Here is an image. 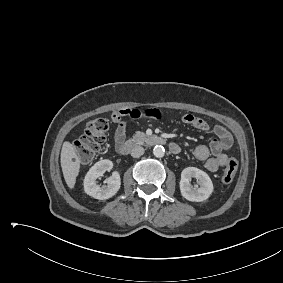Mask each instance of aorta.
I'll list each match as a JSON object with an SVG mask.
<instances>
[{"instance_id": "762f6f07", "label": "aorta", "mask_w": 283, "mask_h": 283, "mask_svg": "<svg viewBox=\"0 0 283 283\" xmlns=\"http://www.w3.org/2000/svg\"><path fill=\"white\" fill-rule=\"evenodd\" d=\"M153 154H154V156L157 157V158L163 157L164 154H165V149H164V147L161 146V145H156V146L154 147V149H153Z\"/></svg>"}]
</instances>
